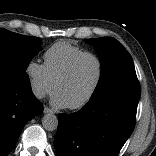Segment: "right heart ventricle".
Instances as JSON below:
<instances>
[{
    "label": "right heart ventricle",
    "instance_id": "1",
    "mask_svg": "<svg viewBox=\"0 0 156 156\" xmlns=\"http://www.w3.org/2000/svg\"><path fill=\"white\" fill-rule=\"evenodd\" d=\"M84 49L66 41L53 44L44 54V65L50 78L54 81L65 71L69 63Z\"/></svg>",
    "mask_w": 156,
    "mask_h": 156
}]
</instances>
